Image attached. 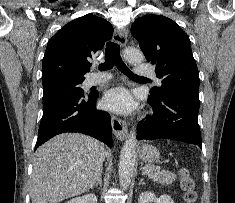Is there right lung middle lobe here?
<instances>
[{
	"instance_id": "obj_1",
	"label": "right lung middle lobe",
	"mask_w": 235,
	"mask_h": 203,
	"mask_svg": "<svg viewBox=\"0 0 235 203\" xmlns=\"http://www.w3.org/2000/svg\"><path fill=\"white\" fill-rule=\"evenodd\" d=\"M82 82L83 81H66L44 85L43 104L71 94L84 95L83 89L79 87Z\"/></svg>"
}]
</instances>
